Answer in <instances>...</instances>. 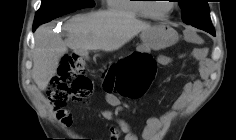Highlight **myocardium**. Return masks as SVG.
Masks as SVG:
<instances>
[{"label": "myocardium", "instance_id": "1", "mask_svg": "<svg viewBox=\"0 0 236 140\" xmlns=\"http://www.w3.org/2000/svg\"><path fill=\"white\" fill-rule=\"evenodd\" d=\"M146 1H149V0H146ZM169 1H173V0H169ZM170 5H171L170 9L164 14L155 13L152 9V5H150L148 3H145L144 7H145L146 13L149 17L161 20V19H165V18L169 17V15H171V13H173V11L175 10V8H176L175 3L172 2V3H170Z\"/></svg>", "mask_w": 236, "mask_h": 140}]
</instances>
